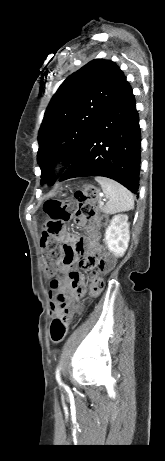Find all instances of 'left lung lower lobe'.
Listing matches in <instances>:
<instances>
[{
    "label": "left lung lower lobe",
    "instance_id": "left-lung-lower-lobe-1",
    "mask_svg": "<svg viewBox=\"0 0 165 461\" xmlns=\"http://www.w3.org/2000/svg\"><path fill=\"white\" fill-rule=\"evenodd\" d=\"M141 135L127 81L86 136L60 181L86 176L113 179L133 193L139 188Z\"/></svg>",
    "mask_w": 165,
    "mask_h": 461
}]
</instances>
